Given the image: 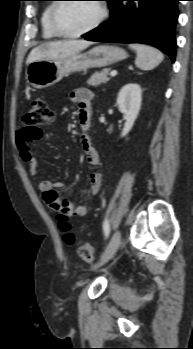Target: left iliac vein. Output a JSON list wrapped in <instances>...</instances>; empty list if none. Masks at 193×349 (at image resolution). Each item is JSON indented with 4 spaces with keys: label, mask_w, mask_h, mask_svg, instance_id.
I'll return each instance as SVG.
<instances>
[{
    "label": "left iliac vein",
    "mask_w": 193,
    "mask_h": 349,
    "mask_svg": "<svg viewBox=\"0 0 193 349\" xmlns=\"http://www.w3.org/2000/svg\"><path fill=\"white\" fill-rule=\"evenodd\" d=\"M120 242H121V233L119 230H116L113 233L105 251L103 252L99 263L95 265V268L100 267L101 265L108 262L113 257Z\"/></svg>",
    "instance_id": "left-iliac-vein-1"
}]
</instances>
